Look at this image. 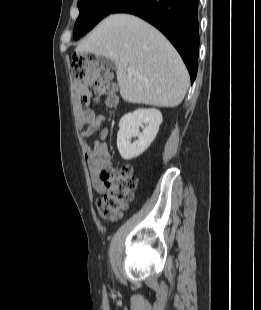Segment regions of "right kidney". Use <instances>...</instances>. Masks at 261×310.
Segmentation results:
<instances>
[{
  "instance_id": "1",
  "label": "right kidney",
  "mask_w": 261,
  "mask_h": 310,
  "mask_svg": "<svg viewBox=\"0 0 261 310\" xmlns=\"http://www.w3.org/2000/svg\"><path fill=\"white\" fill-rule=\"evenodd\" d=\"M161 122V112L153 108L137 109L124 115L120 119L117 134V148L121 157L130 160L142 154L155 139ZM132 137H138V140L131 143Z\"/></svg>"
}]
</instances>
